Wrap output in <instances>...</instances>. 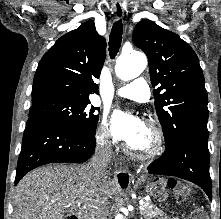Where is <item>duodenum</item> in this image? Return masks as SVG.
<instances>
[{
	"instance_id": "1",
	"label": "duodenum",
	"mask_w": 221,
	"mask_h": 219,
	"mask_svg": "<svg viewBox=\"0 0 221 219\" xmlns=\"http://www.w3.org/2000/svg\"><path fill=\"white\" fill-rule=\"evenodd\" d=\"M67 219H84L82 212H75L67 217Z\"/></svg>"
}]
</instances>
